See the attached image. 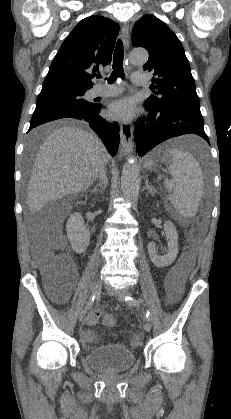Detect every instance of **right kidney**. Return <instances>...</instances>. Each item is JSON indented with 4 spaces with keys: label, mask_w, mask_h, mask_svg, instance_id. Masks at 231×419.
<instances>
[{
    "label": "right kidney",
    "mask_w": 231,
    "mask_h": 419,
    "mask_svg": "<svg viewBox=\"0 0 231 419\" xmlns=\"http://www.w3.org/2000/svg\"><path fill=\"white\" fill-rule=\"evenodd\" d=\"M67 237L76 253H83L90 242L89 229L85 227L80 213L71 214L66 224Z\"/></svg>",
    "instance_id": "right-kidney-1"
}]
</instances>
